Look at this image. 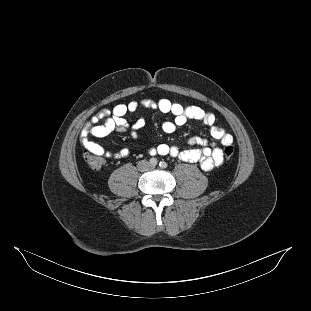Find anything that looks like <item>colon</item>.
Returning <instances> with one entry per match:
<instances>
[{
    "label": "colon",
    "mask_w": 311,
    "mask_h": 311,
    "mask_svg": "<svg viewBox=\"0 0 311 311\" xmlns=\"http://www.w3.org/2000/svg\"><path fill=\"white\" fill-rule=\"evenodd\" d=\"M235 152L234 146L231 144H227L224 147V157L225 159L229 160L233 157ZM84 159L86 163L92 168V169H100L104 163L105 160L101 154H98L96 152L85 150L84 151Z\"/></svg>",
    "instance_id": "obj_1"
}]
</instances>
